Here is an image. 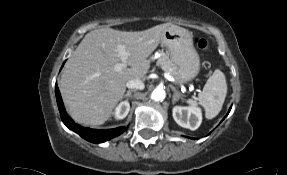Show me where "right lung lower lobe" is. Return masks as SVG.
Wrapping results in <instances>:
<instances>
[{"label":"right lung lower lobe","mask_w":287,"mask_h":175,"mask_svg":"<svg viewBox=\"0 0 287 175\" xmlns=\"http://www.w3.org/2000/svg\"><path fill=\"white\" fill-rule=\"evenodd\" d=\"M55 94L57 99V104L60 112L61 119L63 123L72 131L79 134L82 138L86 139L92 143H102L107 140H110L121 133H123L126 128L118 127L114 129L108 130H97V129H90L87 127L80 126L76 124L65 112V108L61 99L60 91L58 86H55Z\"/></svg>","instance_id":"98d812e1"}]
</instances>
